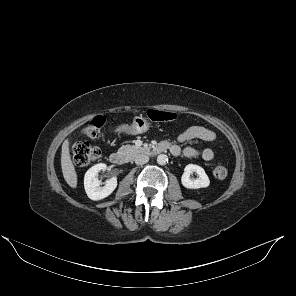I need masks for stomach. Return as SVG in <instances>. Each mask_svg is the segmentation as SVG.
Returning <instances> with one entry per match:
<instances>
[{
	"label": "stomach",
	"mask_w": 296,
	"mask_h": 296,
	"mask_svg": "<svg viewBox=\"0 0 296 296\" xmlns=\"http://www.w3.org/2000/svg\"><path fill=\"white\" fill-rule=\"evenodd\" d=\"M149 128L150 122L141 116H137L133 119V122L130 125L123 124L119 126V131L131 135H137L147 132Z\"/></svg>",
	"instance_id": "obj_1"
}]
</instances>
